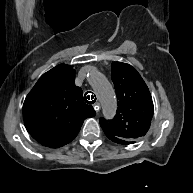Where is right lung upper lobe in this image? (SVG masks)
Masks as SVG:
<instances>
[{
  "label": "right lung upper lobe",
  "instance_id": "cb5924a9",
  "mask_svg": "<svg viewBox=\"0 0 193 193\" xmlns=\"http://www.w3.org/2000/svg\"><path fill=\"white\" fill-rule=\"evenodd\" d=\"M95 114L93 107L83 102L81 88L75 85V71L65 64L43 74L23 105L29 134L52 148L71 142L83 121Z\"/></svg>",
  "mask_w": 193,
  "mask_h": 193
}]
</instances>
